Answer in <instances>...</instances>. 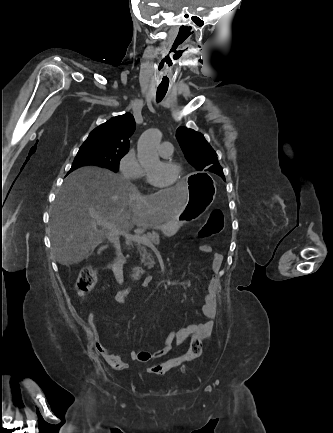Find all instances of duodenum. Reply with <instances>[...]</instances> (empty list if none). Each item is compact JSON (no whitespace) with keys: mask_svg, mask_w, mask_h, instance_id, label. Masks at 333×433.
<instances>
[{"mask_svg":"<svg viewBox=\"0 0 333 433\" xmlns=\"http://www.w3.org/2000/svg\"><path fill=\"white\" fill-rule=\"evenodd\" d=\"M130 273L132 277L139 279L144 275L145 270L141 267H133Z\"/></svg>","mask_w":333,"mask_h":433,"instance_id":"1","label":"duodenum"}]
</instances>
